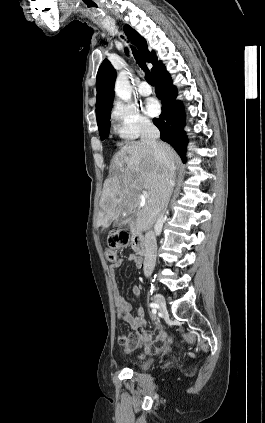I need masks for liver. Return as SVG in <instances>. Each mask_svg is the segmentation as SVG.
<instances>
[{"label": "liver", "instance_id": "6515ba94", "mask_svg": "<svg viewBox=\"0 0 265 423\" xmlns=\"http://www.w3.org/2000/svg\"><path fill=\"white\" fill-rule=\"evenodd\" d=\"M167 148L165 165L155 156L154 149L134 141L124 145L113 157L110 177L104 182L100 198L101 211L97 225L107 228L121 214H129L139 207L141 192L148 197L138 210L136 227L146 231L153 227L162 211V194L169 171L175 176V158L172 149Z\"/></svg>", "mask_w": 265, "mask_h": 423}]
</instances>
